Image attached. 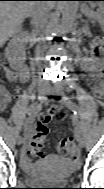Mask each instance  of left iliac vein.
<instances>
[{"label":"left iliac vein","instance_id":"obj_1","mask_svg":"<svg viewBox=\"0 0 104 189\" xmlns=\"http://www.w3.org/2000/svg\"><path fill=\"white\" fill-rule=\"evenodd\" d=\"M56 92H57V90H55V89H50V91H49V93L51 95L55 94ZM76 140H77L78 146L80 148H83L84 145H85V141H84L83 137L79 133L76 135Z\"/></svg>","mask_w":104,"mask_h":189}]
</instances>
